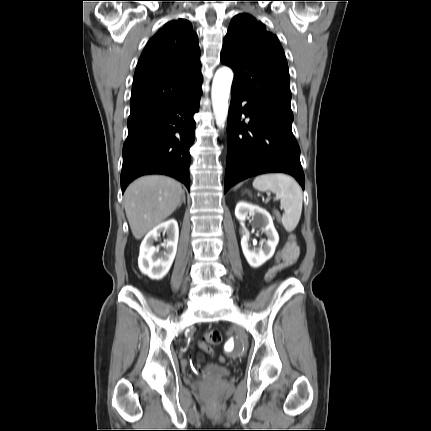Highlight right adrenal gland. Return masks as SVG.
<instances>
[{
  "label": "right adrenal gland",
  "instance_id": "right-adrenal-gland-1",
  "mask_svg": "<svg viewBox=\"0 0 431 431\" xmlns=\"http://www.w3.org/2000/svg\"><path fill=\"white\" fill-rule=\"evenodd\" d=\"M182 202H183L184 204H186V198H185V194H184V193H183V195H182V200H181V202H180V204H179V207L181 206Z\"/></svg>",
  "mask_w": 431,
  "mask_h": 431
}]
</instances>
